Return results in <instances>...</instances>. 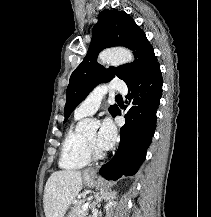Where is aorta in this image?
Returning <instances> with one entry per match:
<instances>
[{
	"instance_id": "1",
	"label": "aorta",
	"mask_w": 211,
	"mask_h": 217,
	"mask_svg": "<svg viewBox=\"0 0 211 217\" xmlns=\"http://www.w3.org/2000/svg\"><path fill=\"white\" fill-rule=\"evenodd\" d=\"M98 60L100 63H109L112 65H120L134 61L132 52L127 49L117 48L112 50H106L99 54ZM81 129L86 130L89 128V120L81 122Z\"/></svg>"
}]
</instances>
